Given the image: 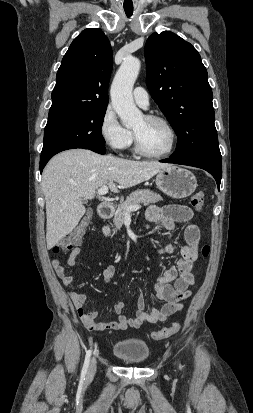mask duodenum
<instances>
[{
  "label": "duodenum",
  "instance_id": "obj_1",
  "mask_svg": "<svg viewBox=\"0 0 253 413\" xmlns=\"http://www.w3.org/2000/svg\"><path fill=\"white\" fill-rule=\"evenodd\" d=\"M114 208L111 204L103 202L98 206L99 216L103 219H108L113 215Z\"/></svg>",
  "mask_w": 253,
  "mask_h": 413
}]
</instances>
